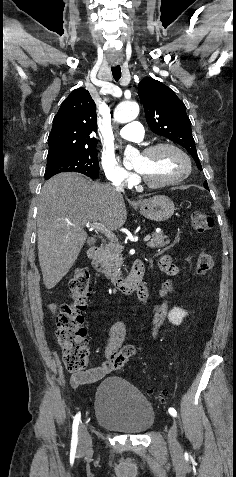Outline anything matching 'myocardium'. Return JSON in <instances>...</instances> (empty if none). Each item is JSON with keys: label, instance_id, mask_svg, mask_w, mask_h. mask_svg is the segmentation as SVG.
Returning <instances> with one entry per match:
<instances>
[{"label": "myocardium", "instance_id": "1", "mask_svg": "<svg viewBox=\"0 0 236 477\" xmlns=\"http://www.w3.org/2000/svg\"><path fill=\"white\" fill-rule=\"evenodd\" d=\"M163 148L172 149L175 152H177L178 154H180L186 161V165H187L186 171L183 174H181L180 176L176 177V178L166 180V181H161V182H153V181L149 180L148 178H146L142 173H140L139 171L136 170V174H137V177H138L139 181L142 182L147 187H150V188H164V187H168V186H173V185L179 184L180 182L185 180L192 172L191 158L189 157V155L182 148H180L178 145H176L172 142H158V143L152 144V145L146 147L142 151V154L143 155H150V154H153L154 152H156L160 149H163Z\"/></svg>", "mask_w": 236, "mask_h": 477}]
</instances>
